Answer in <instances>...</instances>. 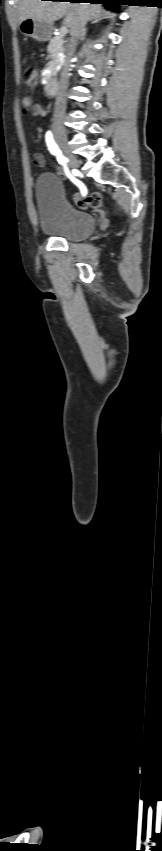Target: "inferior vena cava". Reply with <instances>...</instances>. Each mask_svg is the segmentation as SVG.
I'll return each mask as SVG.
<instances>
[{"mask_svg": "<svg viewBox=\"0 0 162 851\" xmlns=\"http://www.w3.org/2000/svg\"><path fill=\"white\" fill-rule=\"evenodd\" d=\"M87 22V17L85 13L81 12L79 14L78 21L75 27L70 31L71 34V54L74 53L77 43L79 40H82L83 32L85 30V24ZM69 71H70V58L65 63L63 72L61 75L58 92L56 96L54 115H53V126L54 131L56 132H65V128L63 125L64 115L66 110V92L68 88V80H69Z\"/></svg>", "mask_w": 162, "mask_h": 851, "instance_id": "obj_1", "label": "inferior vena cava"}]
</instances>
